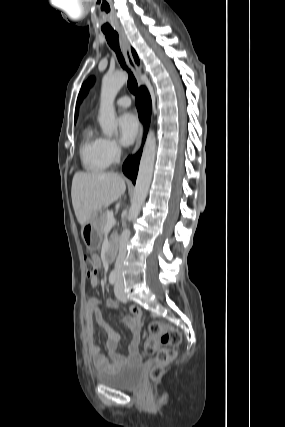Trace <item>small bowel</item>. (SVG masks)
Instances as JSON below:
<instances>
[{"label": "small bowel", "instance_id": "c3829d8e", "mask_svg": "<svg viewBox=\"0 0 285 427\" xmlns=\"http://www.w3.org/2000/svg\"><path fill=\"white\" fill-rule=\"evenodd\" d=\"M92 259L98 266L101 264L99 256L92 255ZM99 281L96 277L90 279V286L97 287ZM108 308H118L119 304L115 300L100 301L97 298L88 300L85 308V324H86V341L91 355L92 362L98 371H112L118 367L137 362L140 360V314L141 311L137 307H132L133 316H126L120 320V323L131 333L132 339L127 347V355H122L117 352V347L122 337L114 332L104 321L101 306ZM94 322H97L106 333L107 339L105 347L108 352L109 359L101 352L97 345V340L94 332Z\"/></svg>", "mask_w": 285, "mask_h": 427}]
</instances>
